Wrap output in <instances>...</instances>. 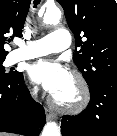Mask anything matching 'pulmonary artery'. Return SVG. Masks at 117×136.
<instances>
[{"label":"pulmonary artery","instance_id":"e3ab8cb5","mask_svg":"<svg viewBox=\"0 0 117 136\" xmlns=\"http://www.w3.org/2000/svg\"><path fill=\"white\" fill-rule=\"evenodd\" d=\"M71 42L72 37L69 31L66 29H55L41 39L20 43L19 48L11 53V61L15 63L23 59L61 52L67 49Z\"/></svg>","mask_w":117,"mask_h":136}]
</instances>
